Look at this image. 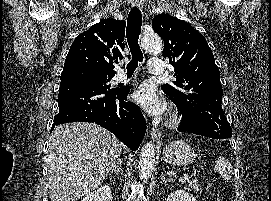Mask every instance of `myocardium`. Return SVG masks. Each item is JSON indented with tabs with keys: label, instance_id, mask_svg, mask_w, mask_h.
Returning a JSON list of instances; mask_svg holds the SVG:
<instances>
[{
	"label": "myocardium",
	"instance_id": "obj_1",
	"mask_svg": "<svg viewBox=\"0 0 271 201\" xmlns=\"http://www.w3.org/2000/svg\"><path fill=\"white\" fill-rule=\"evenodd\" d=\"M184 121V114L179 109H174L169 118V125L172 127L179 126Z\"/></svg>",
	"mask_w": 271,
	"mask_h": 201
}]
</instances>
